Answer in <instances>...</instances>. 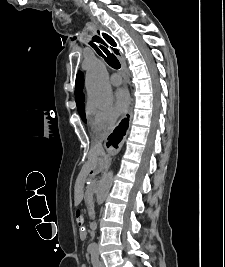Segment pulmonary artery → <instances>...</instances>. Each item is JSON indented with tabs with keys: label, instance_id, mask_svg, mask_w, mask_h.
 <instances>
[{
	"label": "pulmonary artery",
	"instance_id": "e3ab8cb5",
	"mask_svg": "<svg viewBox=\"0 0 225 267\" xmlns=\"http://www.w3.org/2000/svg\"><path fill=\"white\" fill-rule=\"evenodd\" d=\"M110 83L113 86H119L122 83V78L118 74H112L110 77Z\"/></svg>",
	"mask_w": 225,
	"mask_h": 267
}]
</instances>
